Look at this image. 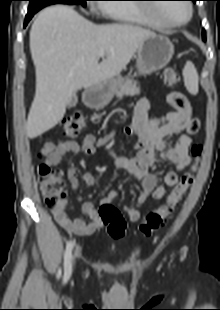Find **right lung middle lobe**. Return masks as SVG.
<instances>
[{
  "label": "right lung middle lobe",
  "instance_id": "dd1d6c3e",
  "mask_svg": "<svg viewBox=\"0 0 220 310\" xmlns=\"http://www.w3.org/2000/svg\"><path fill=\"white\" fill-rule=\"evenodd\" d=\"M29 9L30 12H37L40 9L56 3H64V4H81L82 6H86L87 0H29Z\"/></svg>",
  "mask_w": 220,
  "mask_h": 310
}]
</instances>
